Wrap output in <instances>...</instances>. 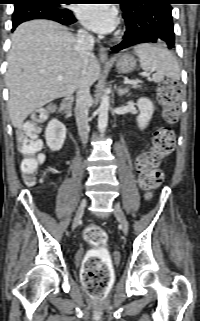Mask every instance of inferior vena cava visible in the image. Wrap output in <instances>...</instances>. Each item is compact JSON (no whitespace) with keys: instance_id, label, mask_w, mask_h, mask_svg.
Wrapping results in <instances>:
<instances>
[{"instance_id":"602c4592","label":"inferior vena cava","mask_w":200,"mask_h":321,"mask_svg":"<svg viewBox=\"0 0 200 321\" xmlns=\"http://www.w3.org/2000/svg\"><path fill=\"white\" fill-rule=\"evenodd\" d=\"M94 47L93 36L85 30H79L77 33L76 50L78 51L80 58L83 62V66L86 67V58L91 53ZM92 101L90 95V85L83 75L79 78L76 92V107L75 116L78 127V133L83 144L87 143L89 134L88 125V111Z\"/></svg>"}]
</instances>
